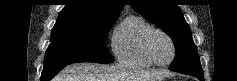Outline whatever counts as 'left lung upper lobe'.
Segmentation results:
<instances>
[{"label": "left lung upper lobe", "instance_id": "obj_1", "mask_svg": "<svg viewBox=\"0 0 237 81\" xmlns=\"http://www.w3.org/2000/svg\"><path fill=\"white\" fill-rule=\"evenodd\" d=\"M130 5L173 40L176 56L169 69L184 74L203 75L197 48L181 9L172 0H130Z\"/></svg>", "mask_w": 237, "mask_h": 81}]
</instances>
